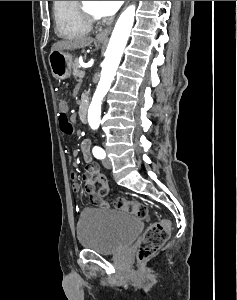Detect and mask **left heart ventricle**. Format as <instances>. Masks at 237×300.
<instances>
[{
	"instance_id": "left-heart-ventricle-1",
	"label": "left heart ventricle",
	"mask_w": 237,
	"mask_h": 300,
	"mask_svg": "<svg viewBox=\"0 0 237 300\" xmlns=\"http://www.w3.org/2000/svg\"><path fill=\"white\" fill-rule=\"evenodd\" d=\"M83 3L92 13L104 16L100 8V1H83Z\"/></svg>"
}]
</instances>
